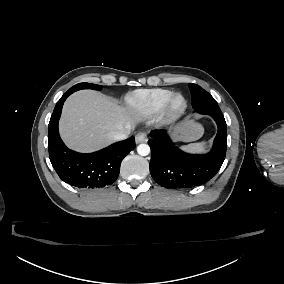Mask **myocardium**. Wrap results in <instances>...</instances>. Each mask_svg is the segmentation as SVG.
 <instances>
[{
    "label": "myocardium",
    "mask_w": 284,
    "mask_h": 284,
    "mask_svg": "<svg viewBox=\"0 0 284 284\" xmlns=\"http://www.w3.org/2000/svg\"><path fill=\"white\" fill-rule=\"evenodd\" d=\"M181 98L182 103L178 109H174L173 102L176 98ZM188 108V100L183 93H172L163 103L160 111L157 113V121L164 125H170L179 121Z\"/></svg>",
    "instance_id": "f54148a6"
}]
</instances>
